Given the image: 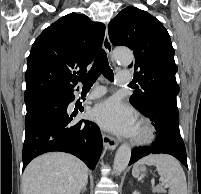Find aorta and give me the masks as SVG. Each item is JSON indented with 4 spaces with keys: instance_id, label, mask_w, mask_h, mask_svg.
<instances>
[{
    "instance_id": "obj_1",
    "label": "aorta",
    "mask_w": 201,
    "mask_h": 194,
    "mask_svg": "<svg viewBox=\"0 0 201 194\" xmlns=\"http://www.w3.org/2000/svg\"><path fill=\"white\" fill-rule=\"evenodd\" d=\"M113 58L122 65H129L133 60L132 52L128 48H115ZM131 158V148L127 144H122L115 155L113 170L116 174L122 173L127 167Z\"/></svg>"
}]
</instances>
